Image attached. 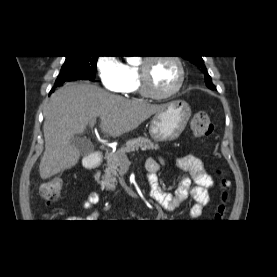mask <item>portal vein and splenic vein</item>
Masks as SVG:
<instances>
[{"label": "portal vein and splenic vein", "instance_id": "1", "mask_svg": "<svg viewBox=\"0 0 277 277\" xmlns=\"http://www.w3.org/2000/svg\"><path fill=\"white\" fill-rule=\"evenodd\" d=\"M94 123H95V122H92V123L90 124V126H91V127L94 126ZM125 162H126V163H129L128 159H127Z\"/></svg>", "mask_w": 277, "mask_h": 277}]
</instances>
